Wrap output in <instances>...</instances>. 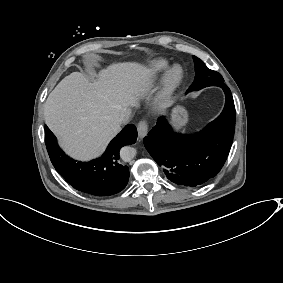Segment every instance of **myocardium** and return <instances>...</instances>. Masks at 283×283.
I'll use <instances>...</instances> for the list:
<instances>
[{
	"label": "myocardium",
	"mask_w": 283,
	"mask_h": 283,
	"mask_svg": "<svg viewBox=\"0 0 283 283\" xmlns=\"http://www.w3.org/2000/svg\"><path fill=\"white\" fill-rule=\"evenodd\" d=\"M184 78V69L179 64L169 66L160 75L152 99V107L154 110H164L170 105L175 93L182 85Z\"/></svg>",
	"instance_id": "f54148a6"
}]
</instances>
